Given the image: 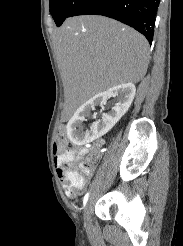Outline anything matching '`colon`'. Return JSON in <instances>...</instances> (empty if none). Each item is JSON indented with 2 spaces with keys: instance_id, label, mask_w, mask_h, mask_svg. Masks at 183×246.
I'll return each instance as SVG.
<instances>
[{
  "instance_id": "obj_1",
  "label": "colon",
  "mask_w": 183,
  "mask_h": 246,
  "mask_svg": "<svg viewBox=\"0 0 183 246\" xmlns=\"http://www.w3.org/2000/svg\"><path fill=\"white\" fill-rule=\"evenodd\" d=\"M70 143L67 137V131L65 126L61 125L57 129L56 139L54 142V153L61 156L69 151ZM63 168L66 171L69 188L72 194H76L81 189L85 180V175L88 174V168H84L82 171H75L67 169V163L63 164Z\"/></svg>"
}]
</instances>
